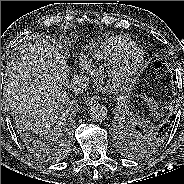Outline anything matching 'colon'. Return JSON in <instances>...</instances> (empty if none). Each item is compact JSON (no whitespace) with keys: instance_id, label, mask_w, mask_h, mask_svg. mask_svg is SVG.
Returning <instances> with one entry per match:
<instances>
[{"instance_id":"colon-1","label":"colon","mask_w":184,"mask_h":184,"mask_svg":"<svg viewBox=\"0 0 184 184\" xmlns=\"http://www.w3.org/2000/svg\"><path fill=\"white\" fill-rule=\"evenodd\" d=\"M162 65H163L162 61H157V62L155 63V66H156L157 68H161Z\"/></svg>"}]
</instances>
